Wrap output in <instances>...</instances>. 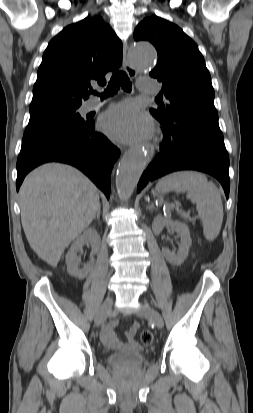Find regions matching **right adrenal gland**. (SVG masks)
Here are the masks:
<instances>
[{
    "label": "right adrenal gland",
    "mask_w": 253,
    "mask_h": 413,
    "mask_svg": "<svg viewBox=\"0 0 253 413\" xmlns=\"http://www.w3.org/2000/svg\"><path fill=\"white\" fill-rule=\"evenodd\" d=\"M100 214H101V206H99V208L97 210V213H96V216L94 217V220L95 219L100 220Z\"/></svg>",
    "instance_id": "2a0ac1e0"
}]
</instances>
